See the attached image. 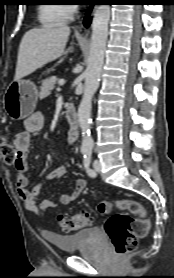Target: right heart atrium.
Instances as JSON below:
<instances>
[{
  "instance_id": "right-heart-atrium-1",
  "label": "right heart atrium",
  "mask_w": 174,
  "mask_h": 278,
  "mask_svg": "<svg viewBox=\"0 0 174 278\" xmlns=\"http://www.w3.org/2000/svg\"><path fill=\"white\" fill-rule=\"evenodd\" d=\"M68 7L71 14H74L76 12V5H68Z\"/></svg>"
}]
</instances>
